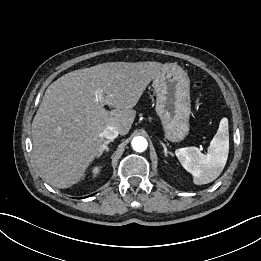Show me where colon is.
Returning <instances> with one entry per match:
<instances>
[{"mask_svg":"<svg viewBox=\"0 0 261 261\" xmlns=\"http://www.w3.org/2000/svg\"><path fill=\"white\" fill-rule=\"evenodd\" d=\"M196 88H199L200 86H201V84L200 83H195V85H194Z\"/></svg>","mask_w":261,"mask_h":261,"instance_id":"1","label":"colon"}]
</instances>
